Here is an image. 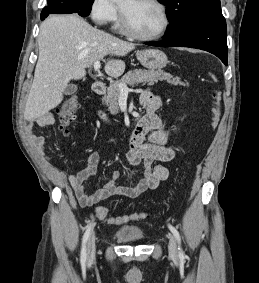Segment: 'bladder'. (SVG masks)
Listing matches in <instances>:
<instances>
[{"label":"bladder","mask_w":259,"mask_h":283,"mask_svg":"<svg viewBox=\"0 0 259 283\" xmlns=\"http://www.w3.org/2000/svg\"><path fill=\"white\" fill-rule=\"evenodd\" d=\"M115 236L122 242H137L145 238L143 228L138 225H123L117 229Z\"/></svg>","instance_id":"bladder-1"}]
</instances>
